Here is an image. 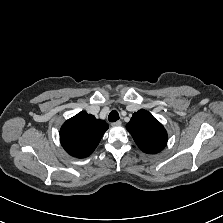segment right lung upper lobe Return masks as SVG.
<instances>
[{
  "instance_id": "cb5924a9",
  "label": "right lung upper lobe",
  "mask_w": 223,
  "mask_h": 223,
  "mask_svg": "<svg viewBox=\"0 0 223 223\" xmlns=\"http://www.w3.org/2000/svg\"><path fill=\"white\" fill-rule=\"evenodd\" d=\"M107 129L108 124L104 120H97L82 111L63 124L60 141L71 156L85 158L95 150Z\"/></svg>"
}]
</instances>
